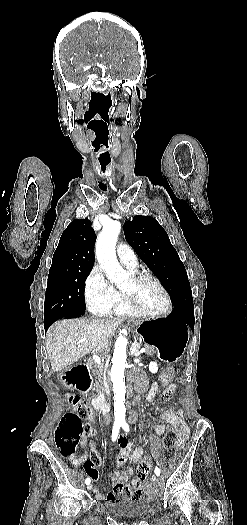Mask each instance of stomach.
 <instances>
[{
  "label": "stomach",
  "instance_id": "0dacf381",
  "mask_svg": "<svg viewBox=\"0 0 247 525\" xmlns=\"http://www.w3.org/2000/svg\"><path fill=\"white\" fill-rule=\"evenodd\" d=\"M136 332L147 346L156 348L158 356L168 362L180 359L190 334L188 326L170 318L141 322L137 324Z\"/></svg>",
  "mask_w": 247,
  "mask_h": 525
}]
</instances>
